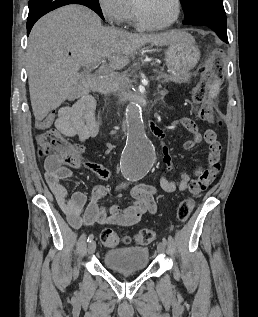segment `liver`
Wrapping results in <instances>:
<instances>
[{
    "mask_svg": "<svg viewBox=\"0 0 258 317\" xmlns=\"http://www.w3.org/2000/svg\"><path fill=\"white\" fill-rule=\"evenodd\" d=\"M181 34L182 30L141 34L102 26L100 16L82 4H67L48 12L35 22L26 52L36 126L66 98H76L82 84L91 80L90 74L78 72L80 66L108 56L110 70L122 68L129 62L122 54H133L146 42L172 44Z\"/></svg>",
    "mask_w": 258,
    "mask_h": 317,
    "instance_id": "1",
    "label": "liver"
}]
</instances>
